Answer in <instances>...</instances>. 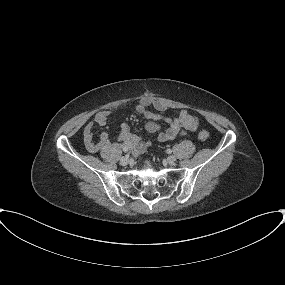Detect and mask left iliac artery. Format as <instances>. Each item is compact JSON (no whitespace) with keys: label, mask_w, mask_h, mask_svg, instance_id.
Here are the masks:
<instances>
[{"label":"left iliac artery","mask_w":285,"mask_h":285,"mask_svg":"<svg viewBox=\"0 0 285 285\" xmlns=\"http://www.w3.org/2000/svg\"><path fill=\"white\" fill-rule=\"evenodd\" d=\"M171 152H172V150H171V149H168V150H167V153H169V154H170Z\"/></svg>","instance_id":"1"}]
</instances>
